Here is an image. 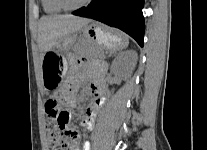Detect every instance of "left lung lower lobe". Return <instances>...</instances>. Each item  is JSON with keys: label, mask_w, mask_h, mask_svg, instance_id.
Masks as SVG:
<instances>
[{"label": "left lung lower lobe", "mask_w": 207, "mask_h": 150, "mask_svg": "<svg viewBox=\"0 0 207 150\" xmlns=\"http://www.w3.org/2000/svg\"><path fill=\"white\" fill-rule=\"evenodd\" d=\"M143 5L144 0H94L73 14L119 28L142 47L145 31Z\"/></svg>", "instance_id": "1"}]
</instances>
